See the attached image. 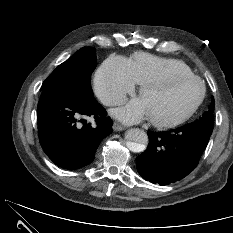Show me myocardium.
Wrapping results in <instances>:
<instances>
[{
  "label": "myocardium",
  "instance_id": "myocardium-1",
  "mask_svg": "<svg viewBox=\"0 0 233 233\" xmlns=\"http://www.w3.org/2000/svg\"><path fill=\"white\" fill-rule=\"evenodd\" d=\"M183 80H194L198 83L200 87V94H199L198 99L184 115H182L181 117L175 120L157 121V120L149 118L150 122L154 126L158 128H163V129L174 128V127L184 124L189 119H191L194 116V114L198 111V109L200 108V106L202 105L205 99V96H206L205 84L203 83L202 79L199 76L191 73V74H182V75H176V76H159L157 78L151 79L140 85L139 96H141L142 93L148 89L160 88L162 86H166V85L179 82V81H183Z\"/></svg>",
  "mask_w": 233,
  "mask_h": 233
}]
</instances>
